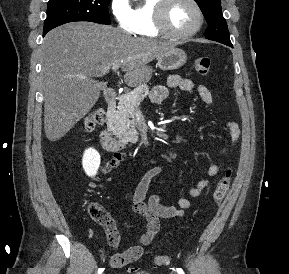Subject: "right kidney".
Wrapping results in <instances>:
<instances>
[{
	"label": "right kidney",
	"mask_w": 289,
	"mask_h": 274,
	"mask_svg": "<svg viewBox=\"0 0 289 274\" xmlns=\"http://www.w3.org/2000/svg\"><path fill=\"white\" fill-rule=\"evenodd\" d=\"M82 165L85 173L89 177H94L97 174V171L100 166V155L99 153L92 148L87 149L84 152Z\"/></svg>",
	"instance_id": "ca27d5eb"
}]
</instances>
